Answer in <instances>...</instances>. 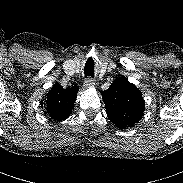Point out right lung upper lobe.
<instances>
[{"label": "right lung upper lobe", "mask_w": 183, "mask_h": 183, "mask_svg": "<svg viewBox=\"0 0 183 183\" xmlns=\"http://www.w3.org/2000/svg\"><path fill=\"white\" fill-rule=\"evenodd\" d=\"M78 86L62 88L53 85L47 97L41 102L42 108L45 109L44 114L54 120L62 121L68 118L74 108Z\"/></svg>", "instance_id": "1"}]
</instances>
